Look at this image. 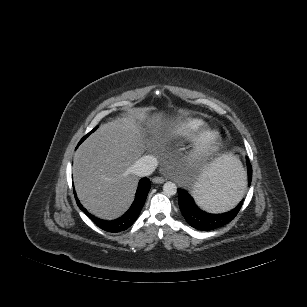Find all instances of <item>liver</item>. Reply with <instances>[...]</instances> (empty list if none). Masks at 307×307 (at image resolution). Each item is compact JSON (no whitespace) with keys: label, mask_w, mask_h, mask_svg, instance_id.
Returning a JSON list of instances; mask_svg holds the SVG:
<instances>
[{"label":"liver","mask_w":307,"mask_h":307,"mask_svg":"<svg viewBox=\"0 0 307 307\" xmlns=\"http://www.w3.org/2000/svg\"><path fill=\"white\" fill-rule=\"evenodd\" d=\"M166 123L164 112L150 115L145 108L131 109L102 124L80 145L74 156L73 180L89 212L106 220L126 212L138 185L132 167L161 140Z\"/></svg>","instance_id":"6515ba94"}]
</instances>
